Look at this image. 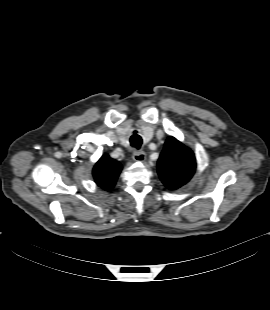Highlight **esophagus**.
Returning <instances> with one entry per match:
<instances>
[{"instance_id": "esophagus-1", "label": "esophagus", "mask_w": 270, "mask_h": 310, "mask_svg": "<svg viewBox=\"0 0 270 310\" xmlns=\"http://www.w3.org/2000/svg\"><path fill=\"white\" fill-rule=\"evenodd\" d=\"M133 159L137 162H143L146 159V153L144 151H135L133 153Z\"/></svg>"}]
</instances>
